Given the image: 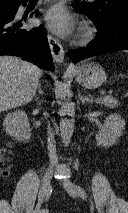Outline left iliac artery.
<instances>
[{"instance_id": "44dca946", "label": "left iliac artery", "mask_w": 128, "mask_h": 213, "mask_svg": "<svg viewBox=\"0 0 128 213\" xmlns=\"http://www.w3.org/2000/svg\"><path fill=\"white\" fill-rule=\"evenodd\" d=\"M76 189H77L78 195L80 197L86 198V192H85V190L81 186L76 185Z\"/></svg>"}]
</instances>
